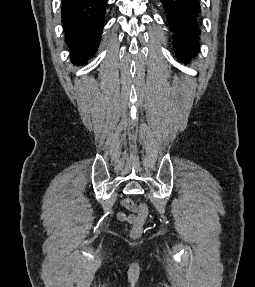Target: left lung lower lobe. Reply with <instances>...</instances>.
<instances>
[{
	"instance_id": "0a47b994",
	"label": "left lung lower lobe",
	"mask_w": 255,
	"mask_h": 287,
	"mask_svg": "<svg viewBox=\"0 0 255 287\" xmlns=\"http://www.w3.org/2000/svg\"><path fill=\"white\" fill-rule=\"evenodd\" d=\"M165 8L174 48L180 62L188 63L199 52L197 41L200 22L199 0H160Z\"/></svg>"
}]
</instances>
